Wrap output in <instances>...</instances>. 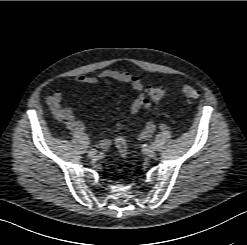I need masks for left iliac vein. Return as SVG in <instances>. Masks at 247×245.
Returning a JSON list of instances; mask_svg holds the SVG:
<instances>
[{
	"label": "left iliac vein",
	"mask_w": 247,
	"mask_h": 245,
	"mask_svg": "<svg viewBox=\"0 0 247 245\" xmlns=\"http://www.w3.org/2000/svg\"><path fill=\"white\" fill-rule=\"evenodd\" d=\"M155 151H156V146L155 144H151L147 150H146V154L149 157H153L155 155Z\"/></svg>",
	"instance_id": "left-iliac-vein-1"
}]
</instances>
